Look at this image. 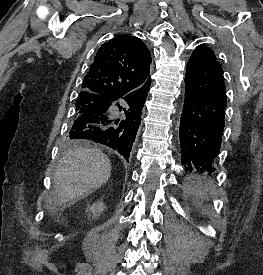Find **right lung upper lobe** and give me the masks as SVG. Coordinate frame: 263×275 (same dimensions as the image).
<instances>
[{"label":"right lung upper lobe","instance_id":"cb5924a9","mask_svg":"<svg viewBox=\"0 0 263 275\" xmlns=\"http://www.w3.org/2000/svg\"><path fill=\"white\" fill-rule=\"evenodd\" d=\"M150 64V51L139 38L116 36L97 51L79 96L94 94L107 101L131 95L151 81Z\"/></svg>","mask_w":263,"mask_h":275}]
</instances>
